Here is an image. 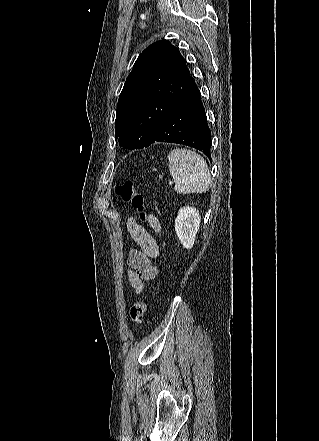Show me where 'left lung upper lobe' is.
<instances>
[{"label":"left lung upper lobe","instance_id":"5c2ea615","mask_svg":"<svg viewBox=\"0 0 319 441\" xmlns=\"http://www.w3.org/2000/svg\"><path fill=\"white\" fill-rule=\"evenodd\" d=\"M193 79L178 48L168 40L148 46L136 60L120 94L115 138L127 149L148 147Z\"/></svg>","mask_w":319,"mask_h":441}]
</instances>
